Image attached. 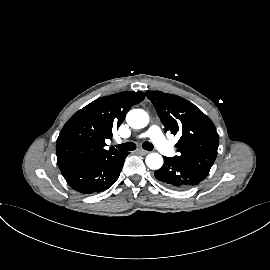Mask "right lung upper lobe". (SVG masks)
<instances>
[{
    "label": "right lung upper lobe",
    "mask_w": 270,
    "mask_h": 270,
    "mask_svg": "<svg viewBox=\"0 0 270 270\" xmlns=\"http://www.w3.org/2000/svg\"><path fill=\"white\" fill-rule=\"evenodd\" d=\"M145 93L125 91L101 97L76 112L64 125L56 141L57 163L61 169L120 152L106 150L105 139L119 127L130 107L140 103Z\"/></svg>",
    "instance_id": "cb5924a9"
}]
</instances>
